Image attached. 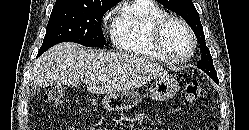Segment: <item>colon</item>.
Instances as JSON below:
<instances>
[{
	"label": "colon",
	"mask_w": 249,
	"mask_h": 130,
	"mask_svg": "<svg viewBox=\"0 0 249 130\" xmlns=\"http://www.w3.org/2000/svg\"><path fill=\"white\" fill-rule=\"evenodd\" d=\"M185 96L189 102L197 101L204 99L206 97V91L199 84L198 81H191L186 85ZM66 92L62 87H55L49 90L44 99L47 103L52 105L55 108H60L65 102ZM209 130H213V125H209ZM101 130V129H98Z\"/></svg>",
	"instance_id": "colon-1"
}]
</instances>
